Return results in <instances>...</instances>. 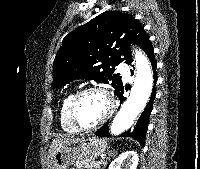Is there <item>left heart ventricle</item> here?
<instances>
[{"mask_svg":"<svg viewBox=\"0 0 200 169\" xmlns=\"http://www.w3.org/2000/svg\"><path fill=\"white\" fill-rule=\"evenodd\" d=\"M107 111L106 98L99 92L84 95L76 106V118L82 127L98 123Z\"/></svg>","mask_w":200,"mask_h":169,"instance_id":"1","label":"left heart ventricle"}]
</instances>
